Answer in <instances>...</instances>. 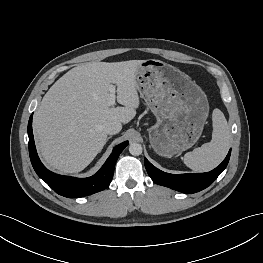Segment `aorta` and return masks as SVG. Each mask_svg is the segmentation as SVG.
Instances as JSON below:
<instances>
[{
	"mask_svg": "<svg viewBox=\"0 0 263 263\" xmlns=\"http://www.w3.org/2000/svg\"><path fill=\"white\" fill-rule=\"evenodd\" d=\"M129 152L133 156H139L142 153V146L139 143H131L129 145Z\"/></svg>",
	"mask_w": 263,
	"mask_h": 263,
	"instance_id": "1",
	"label": "aorta"
}]
</instances>
